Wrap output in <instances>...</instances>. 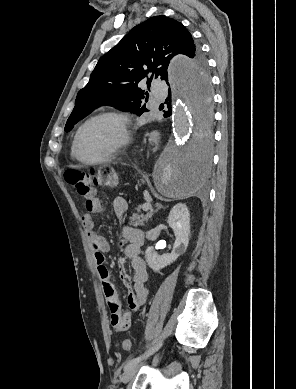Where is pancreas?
I'll return each instance as SVG.
<instances>
[{
  "mask_svg": "<svg viewBox=\"0 0 296 389\" xmlns=\"http://www.w3.org/2000/svg\"><path fill=\"white\" fill-rule=\"evenodd\" d=\"M152 212L146 213V214H139V213H134L130 217V225L137 227V226H143L147 223L148 219L151 218Z\"/></svg>",
  "mask_w": 296,
  "mask_h": 389,
  "instance_id": "cf45deb5",
  "label": "pancreas"
}]
</instances>
